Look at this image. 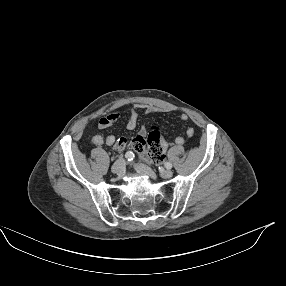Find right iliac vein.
Listing matches in <instances>:
<instances>
[{
    "instance_id": "obj_1",
    "label": "right iliac vein",
    "mask_w": 286,
    "mask_h": 286,
    "mask_svg": "<svg viewBox=\"0 0 286 286\" xmlns=\"http://www.w3.org/2000/svg\"><path fill=\"white\" fill-rule=\"evenodd\" d=\"M125 170V162L123 159H118L111 167L114 174H122Z\"/></svg>"
}]
</instances>
